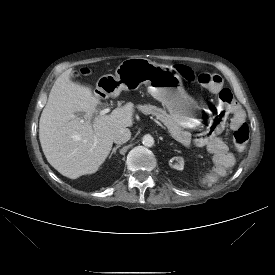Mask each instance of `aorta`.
<instances>
[{"mask_svg":"<svg viewBox=\"0 0 275 275\" xmlns=\"http://www.w3.org/2000/svg\"><path fill=\"white\" fill-rule=\"evenodd\" d=\"M142 143L146 147H152L154 145V138L151 135L146 134L143 136Z\"/></svg>","mask_w":275,"mask_h":275,"instance_id":"762f6f07","label":"aorta"}]
</instances>
